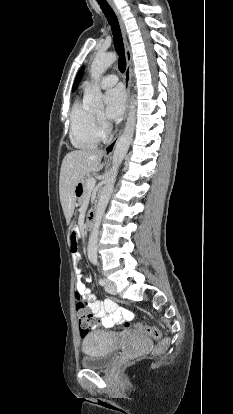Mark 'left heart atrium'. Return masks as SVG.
Instances as JSON below:
<instances>
[{
	"label": "left heart atrium",
	"mask_w": 233,
	"mask_h": 414,
	"mask_svg": "<svg viewBox=\"0 0 233 414\" xmlns=\"http://www.w3.org/2000/svg\"><path fill=\"white\" fill-rule=\"evenodd\" d=\"M105 116L110 121L118 120L124 113L125 93L121 87H115L105 93Z\"/></svg>",
	"instance_id": "1"
}]
</instances>
